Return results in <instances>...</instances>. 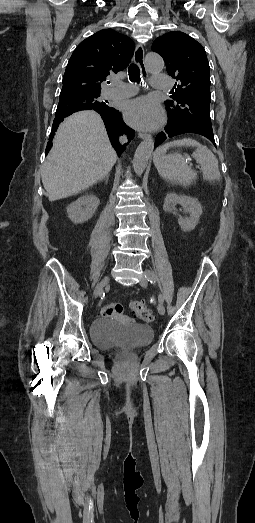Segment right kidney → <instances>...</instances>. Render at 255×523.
<instances>
[{"label":"right kidney","mask_w":255,"mask_h":523,"mask_svg":"<svg viewBox=\"0 0 255 523\" xmlns=\"http://www.w3.org/2000/svg\"><path fill=\"white\" fill-rule=\"evenodd\" d=\"M100 204L99 198L93 196V194H87V196H81L76 202H72L67 206L68 218L74 224H83L92 218ZM84 206V208H83Z\"/></svg>","instance_id":"obj_1"}]
</instances>
